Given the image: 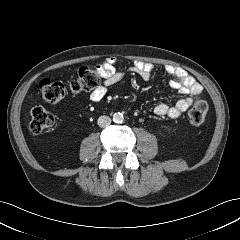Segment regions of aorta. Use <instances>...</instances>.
<instances>
[{"label": "aorta", "instance_id": "aorta-1", "mask_svg": "<svg viewBox=\"0 0 240 240\" xmlns=\"http://www.w3.org/2000/svg\"><path fill=\"white\" fill-rule=\"evenodd\" d=\"M123 120H124V117L122 113L118 112L113 114V121L115 123H122Z\"/></svg>", "mask_w": 240, "mask_h": 240}]
</instances>
